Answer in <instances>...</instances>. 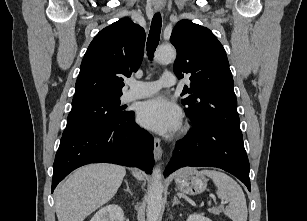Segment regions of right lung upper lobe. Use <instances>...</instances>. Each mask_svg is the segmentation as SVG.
I'll return each mask as SVG.
<instances>
[{"label": "right lung upper lobe", "instance_id": "cb5924a9", "mask_svg": "<svg viewBox=\"0 0 307 221\" xmlns=\"http://www.w3.org/2000/svg\"><path fill=\"white\" fill-rule=\"evenodd\" d=\"M145 31L128 18L101 30L90 43L81 63L72 103L120 97L122 76L139 68L144 51Z\"/></svg>", "mask_w": 307, "mask_h": 221}]
</instances>
